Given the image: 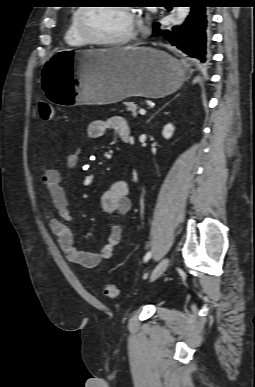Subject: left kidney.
Instances as JSON below:
<instances>
[{"label": "left kidney", "mask_w": 255, "mask_h": 387, "mask_svg": "<svg viewBox=\"0 0 255 387\" xmlns=\"http://www.w3.org/2000/svg\"><path fill=\"white\" fill-rule=\"evenodd\" d=\"M173 132H174V126L171 123H169L165 125V127L163 128L162 135L165 139H170L173 135Z\"/></svg>", "instance_id": "1"}]
</instances>
